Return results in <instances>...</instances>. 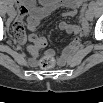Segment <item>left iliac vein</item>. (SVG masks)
I'll use <instances>...</instances> for the list:
<instances>
[{"label":"left iliac vein","mask_w":103,"mask_h":103,"mask_svg":"<svg viewBox=\"0 0 103 103\" xmlns=\"http://www.w3.org/2000/svg\"><path fill=\"white\" fill-rule=\"evenodd\" d=\"M87 17H88V19H90V20L93 19V13H92V11H88V12H87Z\"/></svg>","instance_id":"left-iliac-vein-1"}]
</instances>
